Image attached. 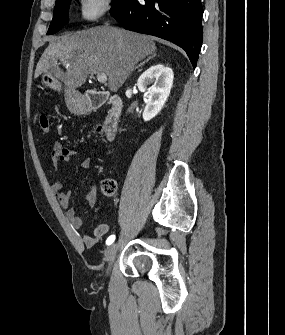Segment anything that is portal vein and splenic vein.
Listing matches in <instances>:
<instances>
[{
  "instance_id": "portal-vein-and-splenic-vein-1",
  "label": "portal vein and splenic vein",
  "mask_w": 285,
  "mask_h": 335,
  "mask_svg": "<svg viewBox=\"0 0 285 335\" xmlns=\"http://www.w3.org/2000/svg\"><path fill=\"white\" fill-rule=\"evenodd\" d=\"M96 78L101 84H106L107 82V76H105V74H97Z\"/></svg>"
}]
</instances>
